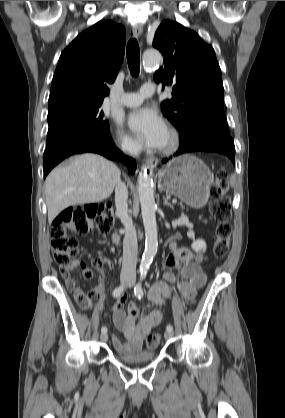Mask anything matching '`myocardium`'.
<instances>
[{
  "label": "myocardium",
  "instance_id": "f54148a6",
  "mask_svg": "<svg viewBox=\"0 0 285 418\" xmlns=\"http://www.w3.org/2000/svg\"><path fill=\"white\" fill-rule=\"evenodd\" d=\"M180 143L179 132L175 128H169L166 133V139L159 146V151L164 154L175 152Z\"/></svg>",
  "mask_w": 285,
  "mask_h": 418
}]
</instances>
